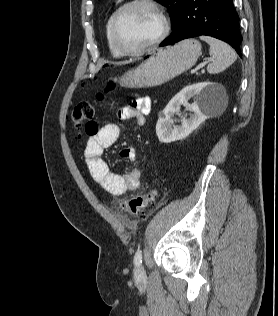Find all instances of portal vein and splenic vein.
Listing matches in <instances>:
<instances>
[{
	"label": "portal vein and splenic vein",
	"instance_id": "obj_1",
	"mask_svg": "<svg viewBox=\"0 0 278 316\" xmlns=\"http://www.w3.org/2000/svg\"><path fill=\"white\" fill-rule=\"evenodd\" d=\"M206 63H207V61H206V62H204V63H202V64L200 65V67L204 66ZM196 71H197V68H193V69H191V74L196 73Z\"/></svg>",
	"mask_w": 278,
	"mask_h": 316
}]
</instances>
